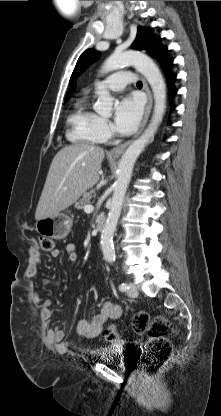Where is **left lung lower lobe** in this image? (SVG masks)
Masks as SVG:
<instances>
[{
	"instance_id": "left-lung-lower-lobe-1",
	"label": "left lung lower lobe",
	"mask_w": 221,
	"mask_h": 416,
	"mask_svg": "<svg viewBox=\"0 0 221 416\" xmlns=\"http://www.w3.org/2000/svg\"><path fill=\"white\" fill-rule=\"evenodd\" d=\"M166 52H167V49L165 47H161L155 44L149 53L155 58H157L164 67V72H165L167 82H168V87H169V96L171 98L177 92V90H175L173 87V82L176 78V75L173 74L170 70V67L172 65V60L164 55ZM174 108L175 107L172 105L171 109H174Z\"/></svg>"
}]
</instances>
